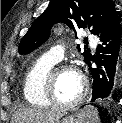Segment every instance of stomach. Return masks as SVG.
Listing matches in <instances>:
<instances>
[{
	"label": "stomach",
	"instance_id": "0dacf381",
	"mask_svg": "<svg viewBox=\"0 0 122 123\" xmlns=\"http://www.w3.org/2000/svg\"><path fill=\"white\" fill-rule=\"evenodd\" d=\"M55 123H87V118L83 114V111L71 115L64 113Z\"/></svg>",
	"mask_w": 122,
	"mask_h": 123
}]
</instances>
